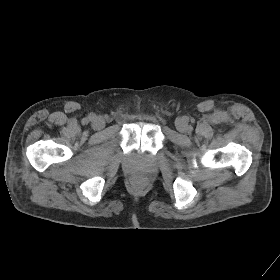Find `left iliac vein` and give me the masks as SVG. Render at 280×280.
I'll return each mask as SVG.
<instances>
[{
	"label": "left iliac vein",
	"instance_id": "left-iliac-vein-1",
	"mask_svg": "<svg viewBox=\"0 0 280 280\" xmlns=\"http://www.w3.org/2000/svg\"><path fill=\"white\" fill-rule=\"evenodd\" d=\"M175 126L179 132H186L188 130V124L186 119L184 118H177L175 121Z\"/></svg>",
	"mask_w": 280,
	"mask_h": 280
}]
</instances>
